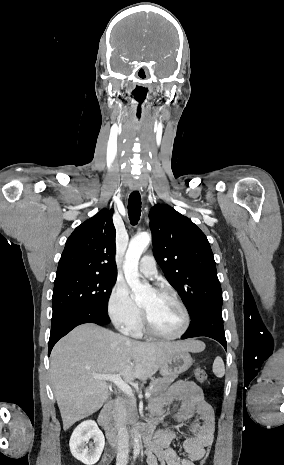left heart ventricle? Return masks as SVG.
<instances>
[{"label": "left heart ventricle", "instance_id": "1", "mask_svg": "<svg viewBox=\"0 0 284 465\" xmlns=\"http://www.w3.org/2000/svg\"><path fill=\"white\" fill-rule=\"evenodd\" d=\"M140 306L149 317V324L156 333L170 336L181 330L183 315L171 300L153 292Z\"/></svg>", "mask_w": 284, "mask_h": 465}]
</instances>
